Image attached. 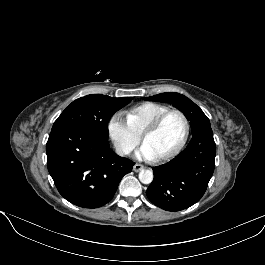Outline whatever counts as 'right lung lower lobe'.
Listing matches in <instances>:
<instances>
[{
	"instance_id": "98d812e1",
	"label": "right lung lower lobe",
	"mask_w": 265,
	"mask_h": 265,
	"mask_svg": "<svg viewBox=\"0 0 265 265\" xmlns=\"http://www.w3.org/2000/svg\"><path fill=\"white\" fill-rule=\"evenodd\" d=\"M47 166L59 193L83 208L109 202L133 161L116 155L108 138L83 127L65 126L51 131Z\"/></svg>"
}]
</instances>
